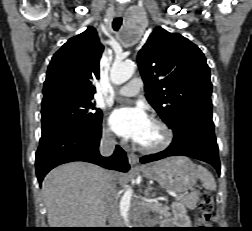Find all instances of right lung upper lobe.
<instances>
[{
    "label": "right lung upper lobe",
    "instance_id": "cb5924a9",
    "mask_svg": "<svg viewBox=\"0 0 252 231\" xmlns=\"http://www.w3.org/2000/svg\"><path fill=\"white\" fill-rule=\"evenodd\" d=\"M104 50L96 30L88 27L70 38L53 56L43 87V99L58 94L93 97V81L99 78V61Z\"/></svg>",
    "mask_w": 252,
    "mask_h": 231
}]
</instances>
